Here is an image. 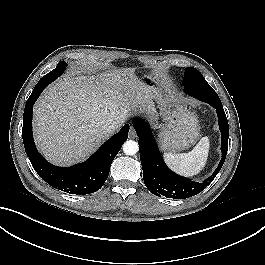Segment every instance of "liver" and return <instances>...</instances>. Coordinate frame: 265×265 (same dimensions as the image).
I'll return each instance as SVG.
<instances>
[{
  "instance_id": "obj_1",
  "label": "liver",
  "mask_w": 265,
  "mask_h": 265,
  "mask_svg": "<svg viewBox=\"0 0 265 265\" xmlns=\"http://www.w3.org/2000/svg\"><path fill=\"white\" fill-rule=\"evenodd\" d=\"M135 110L152 114L153 101L132 68L64 77L35 104L36 145L53 164L83 161L109 137L108 124L121 127Z\"/></svg>"
}]
</instances>
